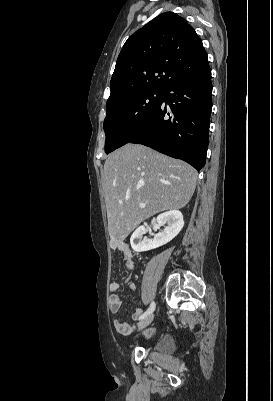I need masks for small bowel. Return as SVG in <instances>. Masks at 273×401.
Listing matches in <instances>:
<instances>
[{"label":"small bowel","mask_w":273,"mask_h":401,"mask_svg":"<svg viewBox=\"0 0 273 401\" xmlns=\"http://www.w3.org/2000/svg\"><path fill=\"white\" fill-rule=\"evenodd\" d=\"M111 247L113 250L118 251L122 254L123 261L128 269L134 268L135 262L133 259V252L127 243L122 241H115L111 244ZM126 284L130 290L136 289V284L133 281L127 280ZM109 290H110V312L112 314H116L120 311L122 306V301L118 294L120 290L119 282H117L116 280H112L109 284ZM143 303L153 304L154 296L144 295ZM143 314L144 310L140 307H137L132 312V319L134 321H138L142 318ZM113 327L119 334L122 335H130L138 331V326L136 324H129L117 318L113 320Z\"/></svg>","instance_id":"small-bowel-1"}]
</instances>
